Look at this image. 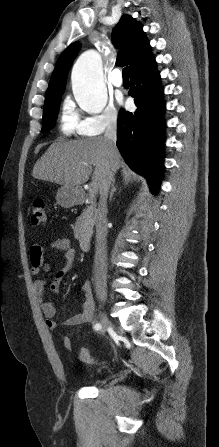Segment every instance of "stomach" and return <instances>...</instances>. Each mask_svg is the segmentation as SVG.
I'll use <instances>...</instances> for the list:
<instances>
[{"mask_svg": "<svg viewBox=\"0 0 219 447\" xmlns=\"http://www.w3.org/2000/svg\"><path fill=\"white\" fill-rule=\"evenodd\" d=\"M80 196V191L77 187L62 186L58 189L56 200L59 205L64 208L74 206Z\"/></svg>", "mask_w": 219, "mask_h": 447, "instance_id": "obj_1", "label": "stomach"}]
</instances>
